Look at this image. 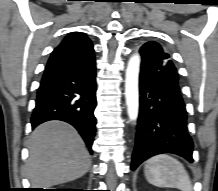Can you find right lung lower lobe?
<instances>
[{"mask_svg":"<svg viewBox=\"0 0 218 191\" xmlns=\"http://www.w3.org/2000/svg\"><path fill=\"white\" fill-rule=\"evenodd\" d=\"M96 64L88 37L67 35L54 49L37 90L31 124L49 120L73 125L92 153L96 118Z\"/></svg>","mask_w":218,"mask_h":191,"instance_id":"1","label":"right lung lower lobe"}]
</instances>
